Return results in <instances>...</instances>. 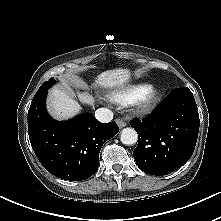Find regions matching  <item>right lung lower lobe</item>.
<instances>
[{"label":"right lung lower lobe","instance_id":"1","mask_svg":"<svg viewBox=\"0 0 221 221\" xmlns=\"http://www.w3.org/2000/svg\"><path fill=\"white\" fill-rule=\"evenodd\" d=\"M47 90L35 94L28 111L31 146L43 167L52 175L81 181L98 169L99 152L119 128L115 122L100 123L91 113L58 122L46 111Z\"/></svg>","mask_w":221,"mask_h":221}]
</instances>
